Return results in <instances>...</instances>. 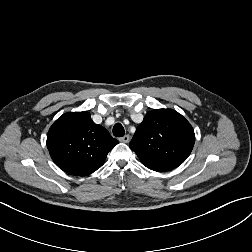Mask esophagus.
<instances>
[{
  "label": "esophagus",
  "mask_w": 252,
  "mask_h": 252,
  "mask_svg": "<svg viewBox=\"0 0 252 252\" xmlns=\"http://www.w3.org/2000/svg\"><path fill=\"white\" fill-rule=\"evenodd\" d=\"M130 135H125L124 137L120 138L119 140L124 143H128L130 141Z\"/></svg>",
  "instance_id": "obj_1"
}]
</instances>
